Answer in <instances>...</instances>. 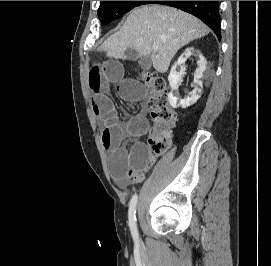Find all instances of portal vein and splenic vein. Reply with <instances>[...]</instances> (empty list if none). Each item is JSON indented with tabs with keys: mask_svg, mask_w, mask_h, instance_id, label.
Returning <instances> with one entry per match:
<instances>
[{
	"mask_svg": "<svg viewBox=\"0 0 271 266\" xmlns=\"http://www.w3.org/2000/svg\"><path fill=\"white\" fill-rule=\"evenodd\" d=\"M152 49H153L154 51H157V50H158V47H157L156 45H153V46H152Z\"/></svg>",
	"mask_w": 271,
	"mask_h": 266,
	"instance_id": "obj_1",
	"label": "portal vein and splenic vein"
}]
</instances>
